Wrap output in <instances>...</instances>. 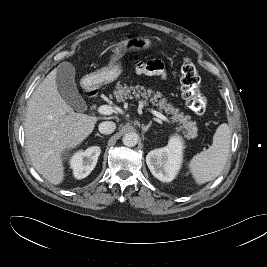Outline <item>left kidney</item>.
Segmentation results:
<instances>
[{"label": "left kidney", "instance_id": "1", "mask_svg": "<svg viewBox=\"0 0 267 267\" xmlns=\"http://www.w3.org/2000/svg\"><path fill=\"white\" fill-rule=\"evenodd\" d=\"M146 163L152 175L162 182H170L177 175L182 163V141L172 136L164 148L150 151Z\"/></svg>", "mask_w": 267, "mask_h": 267}]
</instances>
